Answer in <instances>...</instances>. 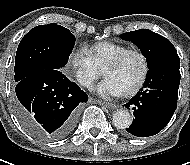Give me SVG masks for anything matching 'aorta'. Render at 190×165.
<instances>
[{
	"label": "aorta",
	"mask_w": 190,
	"mask_h": 165,
	"mask_svg": "<svg viewBox=\"0 0 190 165\" xmlns=\"http://www.w3.org/2000/svg\"><path fill=\"white\" fill-rule=\"evenodd\" d=\"M113 124L118 129H126L131 125V115L127 110H118L113 114Z\"/></svg>",
	"instance_id": "762f6f07"
}]
</instances>
